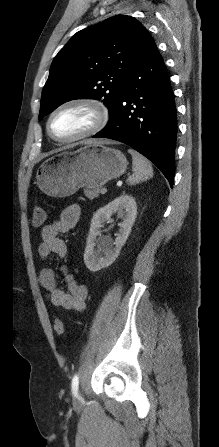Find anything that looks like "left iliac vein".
<instances>
[{
	"label": "left iliac vein",
	"instance_id": "1",
	"mask_svg": "<svg viewBox=\"0 0 219 447\" xmlns=\"http://www.w3.org/2000/svg\"><path fill=\"white\" fill-rule=\"evenodd\" d=\"M80 398H82V392H81V390H79V391L77 392V395H76V399H80Z\"/></svg>",
	"mask_w": 219,
	"mask_h": 447
}]
</instances>
